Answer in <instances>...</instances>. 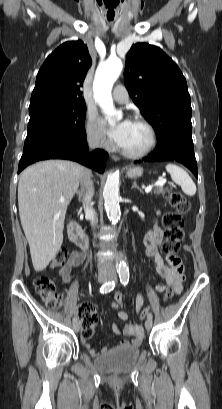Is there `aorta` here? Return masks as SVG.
I'll use <instances>...</instances> for the list:
<instances>
[{
  "label": "aorta",
  "instance_id": "obj_1",
  "mask_svg": "<svg viewBox=\"0 0 222 409\" xmlns=\"http://www.w3.org/2000/svg\"><path fill=\"white\" fill-rule=\"evenodd\" d=\"M123 68L120 59H109L100 65L96 70L93 82L94 99L108 116H116L118 113L114 108L111 95L114 82L119 77ZM103 198L106 210L110 215V220L118 221L120 218V197H119V174L108 175L104 189ZM120 269L126 270V264L120 263Z\"/></svg>",
  "mask_w": 222,
  "mask_h": 409
}]
</instances>
